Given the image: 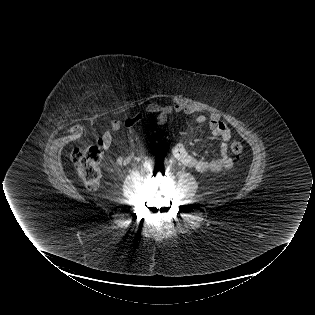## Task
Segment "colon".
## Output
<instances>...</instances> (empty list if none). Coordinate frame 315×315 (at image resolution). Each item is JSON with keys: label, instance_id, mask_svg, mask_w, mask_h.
Segmentation results:
<instances>
[{"label": "colon", "instance_id": "colon-1", "mask_svg": "<svg viewBox=\"0 0 315 315\" xmlns=\"http://www.w3.org/2000/svg\"><path fill=\"white\" fill-rule=\"evenodd\" d=\"M230 148L237 157L243 153V146L238 141H232ZM104 151V143L100 138L90 145L76 148L72 153L78 175L89 189H95L100 183L101 158Z\"/></svg>", "mask_w": 315, "mask_h": 315}]
</instances>
